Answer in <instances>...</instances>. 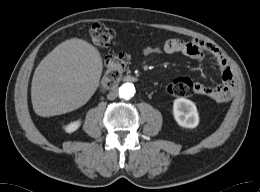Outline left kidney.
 <instances>
[{
	"label": "left kidney",
	"mask_w": 260,
	"mask_h": 192,
	"mask_svg": "<svg viewBox=\"0 0 260 192\" xmlns=\"http://www.w3.org/2000/svg\"><path fill=\"white\" fill-rule=\"evenodd\" d=\"M173 116L181 127L195 128L199 124V115L195 104L182 97L173 102Z\"/></svg>",
	"instance_id": "obj_1"
}]
</instances>
